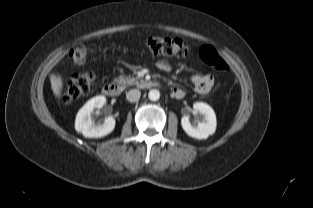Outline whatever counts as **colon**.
Wrapping results in <instances>:
<instances>
[{
  "label": "colon",
  "instance_id": "5ec220e1",
  "mask_svg": "<svg viewBox=\"0 0 313 208\" xmlns=\"http://www.w3.org/2000/svg\"><path fill=\"white\" fill-rule=\"evenodd\" d=\"M145 47L154 55L186 57L189 47L177 39L163 37H149L144 41ZM89 47L79 44L70 51V58L76 65H83L88 56ZM200 57L212 68L226 72L229 67L220 54L211 46H203L200 49ZM95 75L92 72H84L70 77L64 85L62 100L65 103L72 102L80 97L87 96L94 85Z\"/></svg>",
  "mask_w": 313,
  "mask_h": 208
}]
</instances>
